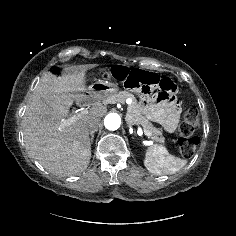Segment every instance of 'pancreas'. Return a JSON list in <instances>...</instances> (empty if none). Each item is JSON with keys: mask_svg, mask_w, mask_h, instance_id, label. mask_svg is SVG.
I'll return each mask as SVG.
<instances>
[{"mask_svg": "<svg viewBox=\"0 0 236 236\" xmlns=\"http://www.w3.org/2000/svg\"><path fill=\"white\" fill-rule=\"evenodd\" d=\"M128 98L132 99V103L127 107V121L137 122L141 124L144 131L150 133V135L148 136L149 138L159 143H165V138L162 136L161 131L158 128L154 127L152 123L142 115L140 106L132 93H129L127 91H120L109 97V101L124 103Z\"/></svg>", "mask_w": 236, "mask_h": 236, "instance_id": "obj_1", "label": "pancreas"}]
</instances>
